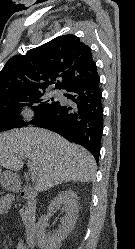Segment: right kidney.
<instances>
[{
  "instance_id": "right-kidney-1",
  "label": "right kidney",
  "mask_w": 135,
  "mask_h": 249,
  "mask_svg": "<svg viewBox=\"0 0 135 249\" xmlns=\"http://www.w3.org/2000/svg\"><path fill=\"white\" fill-rule=\"evenodd\" d=\"M77 201V195L72 190L60 192L51 201L48 207L49 213L54 212L62 205L66 215L61 219L62 226L53 234L46 233L45 230L49 215H42L39 218L36 225L37 245L39 249H58L61 242L72 232L79 213Z\"/></svg>"
}]
</instances>
